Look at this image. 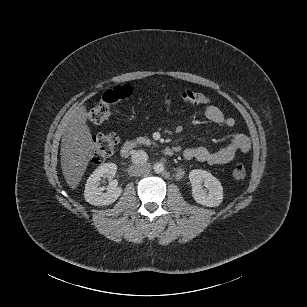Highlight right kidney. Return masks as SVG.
<instances>
[{"label": "right kidney", "instance_id": "obj_1", "mask_svg": "<svg viewBox=\"0 0 307 307\" xmlns=\"http://www.w3.org/2000/svg\"><path fill=\"white\" fill-rule=\"evenodd\" d=\"M117 166L114 163H104L98 167L88 178L84 197L87 203L94 206H107L113 204L122 195L123 188L113 180ZM108 176L110 179L108 192L102 193L104 188L98 186L101 177Z\"/></svg>", "mask_w": 307, "mask_h": 307}]
</instances>
